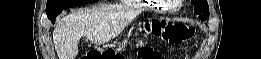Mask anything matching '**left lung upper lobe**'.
Listing matches in <instances>:
<instances>
[{
  "mask_svg": "<svg viewBox=\"0 0 261 59\" xmlns=\"http://www.w3.org/2000/svg\"><path fill=\"white\" fill-rule=\"evenodd\" d=\"M194 5V12L199 15V18L203 21L209 17V5L207 0H191Z\"/></svg>",
  "mask_w": 261,
  "mask_h": 59,
  "instance_id": "5c2ea615",
  "label": "left lung upper lobe"
}]
</instances>
